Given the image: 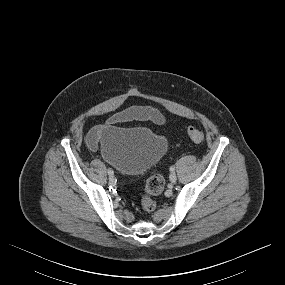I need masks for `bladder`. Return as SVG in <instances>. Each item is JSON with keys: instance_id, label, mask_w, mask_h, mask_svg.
Masks as SVG:
<instances>
[{"instance_id": "31cf9c89", "label": "bladder", "mask_w": 285, "mask_h": 285, "mask_svg": "<svg viewBox=\"0 0 285 285\" xmlns=\"http://www.w3.org/2000/svg\"><path fill=\"white\" fill-rule=\"evenodd\" d=\"M100 141L104 159L128 174L148 170L167 150L165 138L145 127L123 128L105 124Z\"/></svg>"}]
</instances>
